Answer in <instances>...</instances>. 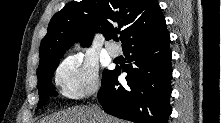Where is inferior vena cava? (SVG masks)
Returning <instances> with one entry per match:
<instances>
[{
	"mask_svg": "<svg viewBox=\"0 0 221 123\" xmlns=\"http://www.w3.org/2000/svg\"><path fill=\"white\" fill-rule=\"evenodd\" d=\"M92 108H93L94 116H95L96 120H98L99 114H100V108L98 106H93Z\"/></svg>",
	"mask_w": 221,
	"mask_h": 123,
	"instance_id": "602c4592",
	"label": "inferior vena cava"
}]
</instances>
